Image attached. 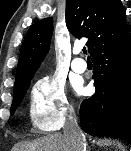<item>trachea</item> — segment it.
<instances>
[{
  "instance_id": "trachea-1",
  "label": "trachea",
  "mask_w": 131,
  "mask_h": 151,
  "mask_svg": "<svg viewBox=\"0 0 131 151\" xmlns=\"http://www.w3.org/2000/svg\"><path fill=\"white\" fill-rule=\"evenodd\" d=\"M83 53H84V54H87L86 48H83Z\"/></svg>"
}]
</instances>
